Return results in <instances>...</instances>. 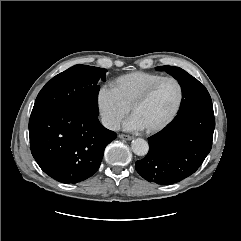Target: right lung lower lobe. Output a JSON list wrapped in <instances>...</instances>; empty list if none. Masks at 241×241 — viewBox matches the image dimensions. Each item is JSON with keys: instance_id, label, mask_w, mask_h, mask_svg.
I'll list each match as a JSON object with an SVG mask.
<instances>
[{"instance_id": "1", "label": "right lung lower lobe", "mask_w": 241, "mask_h": 241, "mask_svg": "<svg viewBox=\"0 0 241 241\" xmlns=\"http://www.w3.org/2000/svg\"><path fill=\"white\" fill-rule=\"evenodd\" d=\"M30 146L40 168L61 183H77L99 168L104 149L116 138L97 116L73 108L32 113Z\"/></svg>"}]
</instances>
